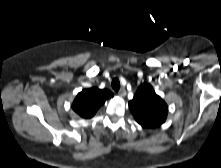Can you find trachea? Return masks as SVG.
<instances>
[{"mask_svg": "<svg viewBox=\"0 0 221 168\" xmlns=\"http://www.w3.org/2000/svg\"><path fill=\"white\" fill-rule=\"evenodd\" d=\"M112 88L117 92V91H119V89H120V81H119V79L118 78H114L113 80H112Z\"/></svg>", "mask_w": 221, "mask_h": 168, "instance_id": "obj_1", "label": "trachea"}]
</instances>
